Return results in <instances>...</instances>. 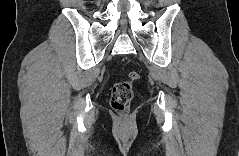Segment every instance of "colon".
<instances>
[{
	"instance_id": "5ec220e1",
	"label": "colon",
	"mask_w": 239,
	"mask_h": 156,
	"mask_svg": "<svg viewBox=\"0 0 239 156\" xmlns=\"http://www.w3.org/2000/svg\"><path fill=\"white\" fill-rule=\"evenodd\" d=\"M139 78L138 72L130 71L127 80L114 85L111 92L110 103L116 112L120 114L128 112L134 96L133 84L139 80Z\"/></svg>"
}]
</instances>
